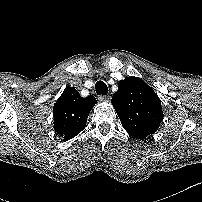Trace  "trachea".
Returning <instances> with one entry per match:
<instances>
[{
	"label": "trachea",
	"mask_w": 202,
	"mask_h": 202,
	"mask_svg": "<svg viewBox=\"0 0 202 202\" xmlns=\"http://www.w3.org/2000/svg\"><path fill=\"white\" fill-rule=\"evenodd\" d=\"M96 93L98 95H106L108 93V87L103 81H97L95 85Z\"/></svg>",
	"instance_id": "obj_1"
}]
</instances>
